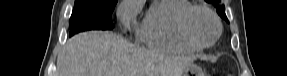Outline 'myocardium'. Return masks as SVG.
<instances>
[{"label":"myocardium","mask_w":287,"mask_h":76,"mask_svg":"<svg viewBox=\"0 0 287 76\" xmlns=\"http://www.w3.org/2000/svg\"><path fill=\"white\" fill-rule=\"evenodd\" d=\"M196 11H203L208 14L216 25V34L209 42L202 43L197 41L189 30V20ZM178 26L183 39L196 49H206L211 47L219 39L222 33V25L218 16L211 9L203 5H190L187 7L179 17Z\"/></svg>","instance_id":"1"}]
</instances>
